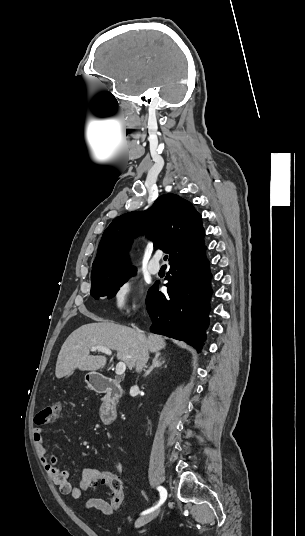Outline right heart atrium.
Wrapping results in <instances>:
<instances>
[{"label":"right heart atrium","mask_w":305,"mask_h":536,"mask_svg":"<svg viewBox=\"0 0 305 536\" xmlns=\"http://www.w3.org/2000/svg\"><path fill=\"white\" fill-rule=\"evenodd\" d=\"M113 305L117 310L122 312L135 309V285L132 281H124L117 286L113 293Z\"/></svg>","instance_id":"right-heart-atrium-1"}]
</instances>
